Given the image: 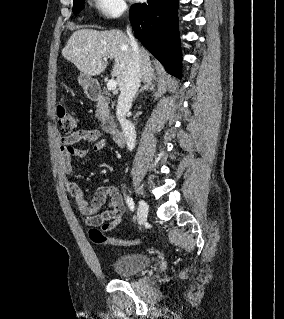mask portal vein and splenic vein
Listing matches in <instances>:
<instances>
[{"label":"portal vein and splenic vein","instance_id":"portal-vein-and-splenic-vein-1","mask_svg":"<svg viewBox=\"0 0 284 319\" xmlns=\"http://www.w3.org/2000/svg\"><path fill=\"white\" fill-rule=\"evenodd\" d=\"M117 87V82L113 79H110L108 82H107V89L110 90V91H113L115 90Z\"/></svg>","mask_w":284,"mask_h":319}]
</instances>
